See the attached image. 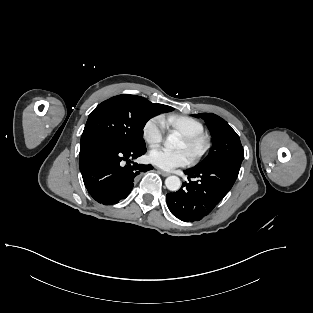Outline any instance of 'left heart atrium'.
Returning a JSON list of instances; mask_svg holds the SVG:
<instances>
[{
	"instance_id": "left-heart-atrium-1",
	"label": "left heart atrium",
	"mask_w": 313,
	"mask_h": 313,
	"mask_svg": "<svg viewBox=\"0 0 313 313\" xmlns=\"http://www.w3.org/2000/svg\"><path fill=\"white\" fill-rule=\"evenodd\" d=\"M149 160L161 169L172 170L188 165L191 156L186 150L170 151L165 148H154L149 153Z\"/></svg>"
}]
</instances>
